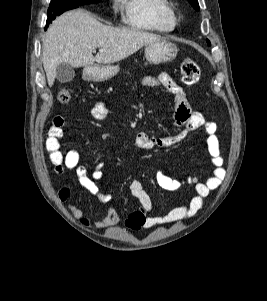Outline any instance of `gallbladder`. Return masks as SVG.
<instances>
[{
	"label": "gallbladder",
	"mask_w": 267,
	"mask_h": 301,
	"mask_svg": "<svg viewBox=\"0 0 267 301\" xmlns=\"http://www.w3.org/2000/svg\"><path fill=\"white\" fill-rule=\"evenodd\" d=\"M75 76L74 68L66 63L57 66L56 79L60 83L70 82Z\"/></svg>",
	"instance_id": "bac80fb5"
}]
</instances>
